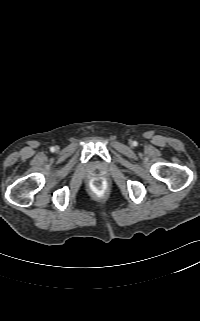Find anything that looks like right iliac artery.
I'll return each mask as SVG.
<instances>
[{
	"instance_id": "obj_1",
	"label": "right iliac artery",
	"mask_w": 200,
	"mask_h": 321,
	"mask_svg": "<svg viewBox=\"0 0 200 321\" xmlns=\"http://www.w3.org/2000/svg\"><path fill=\"white\" fill-rule=\"evenodd\" d=\"M50 150L53 152V151H55V148H54V147H51Z\"/></svg>"
}]
</instances>
